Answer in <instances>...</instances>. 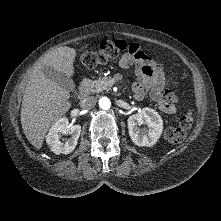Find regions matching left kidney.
Listing matches in <instances>:
<instances>
[{
  "instance_id": "obj_1",
  "label": "left kidney",
  "mask_w": 221,
  "mask_h": 221,
  "mask_svg": "<svg viewBox=\"0 0 221 221\" xmlns=\"http://www.w3.org/2000/svg\"><path fill=\"white\" fill-rule=\"evenodd\" d=\"M128 129L131 140L138 146H153L163 130L161 116L151 108H143L128 118ZM141 125L148 128L141 129Z\"/></svg>"
}]
</instances>
